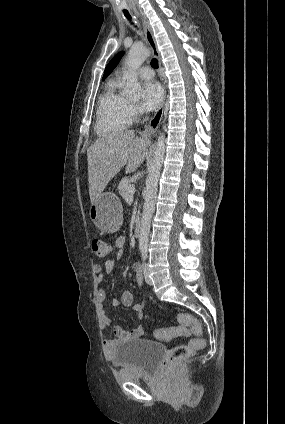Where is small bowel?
Segmentation results:
<instances>
[{
  "instance_id": "obj_1",
  "label": "small bowel",
  "mask_w": 285,
  "mask_h": 424,
  "mask_svg": "<svg viewBox=\"0 0 285 424\" xmlns=\"http://www.w3.org/2000/svg\"><path fill=\"white\" fill-rule=\"evenodd\" d=\"M126 246V238L124 236H120L115 241V247L117 249V253L115 258L109 259L105 262L104 266L101 265H95L94 266V272L97 275V281L99 284L98 290H97V300L98 304L101 308V314H102V323L105 327L110 326L111 319L107 315L106 311L104 310L106 303H107V294L105 289L101 286L103 281L104 274H110L115 269L116 265L121 260L124 250ZM133 270L136 272V283L137 287L140 286L142 282V276H141V265L139 263L133 264ZM134 297L133 294L128 290H122L120 297H113L111 300V304L115 307L117 306H124V307H132L134 312L137 315L138 319H142L144 317V310L145 305L144 303H138L134 304ZM144 333V329L142 325L138 324L133 328L131 331L125 330L121 326H114L112 331V337L111 338H105L102 343L103 352L106 355H111L115 351V349L121 345L122 343L137 339L140 336H142ZM189 331H186V334L184 336H188Z\"/></svg>"
}]
</instances>
